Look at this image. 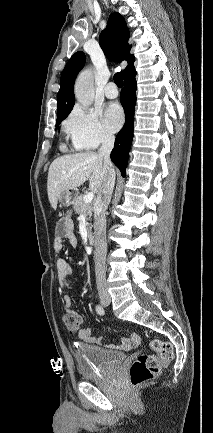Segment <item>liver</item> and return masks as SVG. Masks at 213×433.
Listing matches in <instances>:
<instances>
[{
  "mask_svg": "<svg viewBox=\"0 0 213 433\" xmlns=\"http://www.w3.org/2000/svg\"><path fill=\"white\" fill-rule=\"evenodd\" d=\"M105 168L103 158L96 152L64 155L55 159L49 167L47 178L48 199L53 209L59 196L66 190H74L89 179V188L99 193Z\"/></svg>",
  "mask_w": 213,
  "mask_h": 433,
  "instance_id": "1",
  "label": "liver"
}]
</instances>
